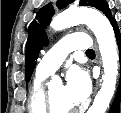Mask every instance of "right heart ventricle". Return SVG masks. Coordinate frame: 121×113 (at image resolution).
Returning <instances> with one entry per match:
<instances>
[{"label":"right heart ventricle","mask_w":121,"mask_h":113,"mask_svg":"<svg viewBox=\"0 0 121 113\" xmlns=\"http://www.w3.org/2000/svg\"><path fill=\"white\" fill-rule=\"evenodd\" d=\"M47 75L36 73L34 83L32 85L31 94L28 102V108L33 113H49L41 112L42 110H47L46 101H45V89H44V80Z\"/></svg>","instance_id":"e07e8e85"}]
</instances>
